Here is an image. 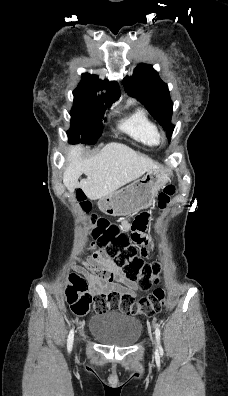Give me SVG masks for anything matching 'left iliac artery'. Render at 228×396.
<instances>
[{
	"label": "left iliac artery",
	"instance_id": "1",
	"mask_svg": "<svg viewBox=\"0 0 228 396\" xmlns=\"http://www.w3.org/2000/svg\"><path fill=\"white\" fill-rule=\"evenodd\" d=\"M155 335H156V340H157V349H158L160 352H162L163 349H162V347H161V345H160V329H159L158 326H156V328H155Z\"/></svg>",
	"mask_w": 228,
	"mask_h": 396
}]
</instances>
